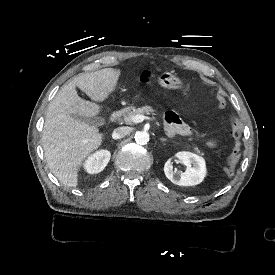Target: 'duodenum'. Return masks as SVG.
Instances as JSON below:
<instances>
[{
	"label": "duodenum",
	"instance_id": "duodenum-1",
	"mask_svg": "<svg viewBox=\"0 0 275 275\" xmlns=\"http://www.w3.org/2000/svg\"><path fill=\"white\" fill-rule=\"evenodd\" d=\"M125 111L123 109L117 110L114 112L107 123V128L110 127L112 124H114L119 118H121L124 115Z\"/></svg>",
	"mask_w": 275,
	"mask_h": 275
}]
</instances>
